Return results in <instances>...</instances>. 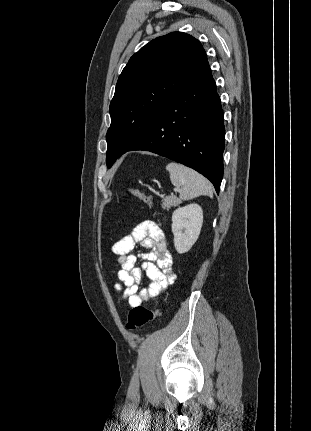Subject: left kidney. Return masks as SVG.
I'll list each match as a JSON object with an SVG mask.
<instances>
[{
    "instance_id": "5707ae66",
    "label": "left kidney",
    "mask_w": 311,
    "mask_h": 431,
    "mask_svg": "<svg viewBox=\"0 0 311 431\" xmlns=\"http://www.w3.org/2000/svg\"><path fill=\"white\" fill-rule=\"evenodd\" d=\"M203 212L198 204L177 208L172 214L174 245L178 253L189 251L201 231Z\"/></svg>"
}]
</instances>
